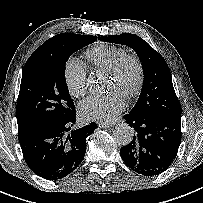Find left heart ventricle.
Listing matches in <instances>:
<instances>
[{
  "instance_id": "b2bd125f",
  "label": "left heart ventricle",
  "mask_w": 203,
  "mask_h": 203,
  "mask_svg": "<svg viewBox=\"0 0 203 203\" xmlns=\"http://www.w3.org/2000/svg\"><path fill=\"white\" fill-rule=\"evenodd\" d=\"M136 69L132 62L127 63L117 74L112 76V88L122 95L132 87Z\"/></svg>"
}]
</instances>
